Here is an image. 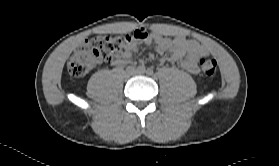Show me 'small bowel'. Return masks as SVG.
Returning <instances> with one entry per match:
<instances>
[{
  "instance_id": "small-bowel-1",
  "label": "small bowel",
  "mask_w": 279,
  "mask_h": 166,
  "mask_svg": "<svg viewBox=\"0 0 279 166\" xmlns=\"http://www.w3.org/2000/svg\"><path fill=\"white\" fill-rule=\"evenodd\" d=\"M143 35L142 38L131 42L122 57L114 60L115 65H126L131 62L133 53H136L140 44H155L159 53H168L166 60L168 62L180 61L181 66L186 71L196 74L198 72L197 61L207 53L206 49L195 40L187 39L184 36L174 38L164 37L157 33H147L143 29L136 30Z\"/></svg>"
}]
</instances>
